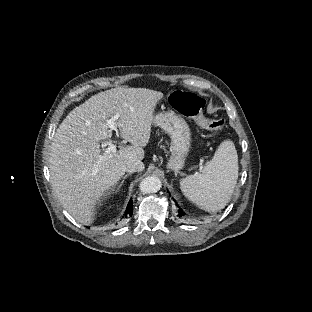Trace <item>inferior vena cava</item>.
<instances>
[{"label":"inferior vena cava","mask_w":312,"mask_h":312,"mask_svg":"<svg viewBox=\"0 0 312 312\" xmlns=\"http://www.w3.org/2000/svg\"><path fill=\"white\" fill-rule=\"evenodd\" d=\"M144 169V164L140 160L132 161L127 164L126 171L129 173L140 172Z\"/></svg>","instance_id":"1"}]
</instances>
